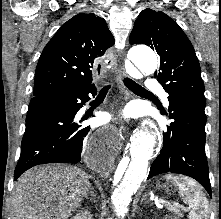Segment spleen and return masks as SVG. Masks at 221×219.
<instances>
[{
  "label": "spleen",
  "instance_id": "spleen-1",
  "mask_svg": "<svg viewBox=\"0 0 221 219\" xmlns=\"http://www.w3.org/2000/svg\"><path fill=\"white\" fill-rule=\"evenodd\" d=\"M166 178L174 182L183 201L189 205V219H209V202L200 185L185 176L167 175Z\"/></svg>",
  "mask_w": 221,
  "mask_h": 219
}]
</instances>
